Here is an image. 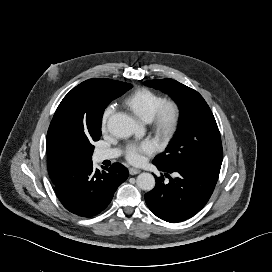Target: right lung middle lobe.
<instances>
[{"label": "right lung middle lobe", "mask_w": 272, "mask_h": 272, "mask_svg": "<svg viewBox=\"0 0 272 272\" xmlns=\"http://www.w3.org/2000/svg\"><path fill=\"white\" fill-rule=\"evenodd\" d=\"M132 87L131 84L128 83H124V82H118L113 90V92H111L108 96L107 99V104H109L113 99L121 96L123 93H125L128 89H130ZM101 136V129H97L96 131H94L93 133H91L88 137L84 138L82 140V149L85 152V154L87 155L89 161L92 160L91 156L93 154V150H94V146L92 145V143L94 141H98L100 139Z\"/></svg>", "instance_id": "dd1d6c3e"}]
</instances>
